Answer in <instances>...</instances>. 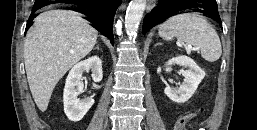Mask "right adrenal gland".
<instances>
[{
	"mask_svg": "<svg viewBox=\"0 0 257 130\" xmlns=\"http://www.w3.org/2000/svg\"><path fill=\"white\" fill-rule=\"evenodd\" d=\"M96 49H97V50H100L98 45L94 48V50H96Z\"/></svg>",
	"mask_w": 257,
	"mask_h": 130,
	"instance_id": "obj_1",
	"label": "right adrenal gland"
}]
</instances>
